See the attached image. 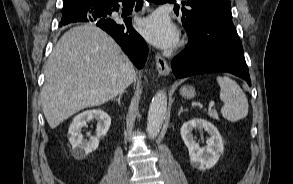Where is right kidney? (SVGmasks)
<instances>
[{"mask_svg":"<svg viewBox=\"0 0 293 184\" xmlns=\"http://www.w3.org/2000/svg\"><path fill=\"white\" fill-rule=\"evenodd\" d=\"M96 119L97 129L96 136L87 135L89 140H85L81 129L86 126L87 122ZM111 125L110 116L101 109L87 110L75 116L68 130V139L72 146V154L76 159H83L88 154L95 151L99 146V139L103 138Z\"/></svg>","mask_w":293,"mask_h":184,"instance_id":"1","label":"right kidney"}]
</instances>
